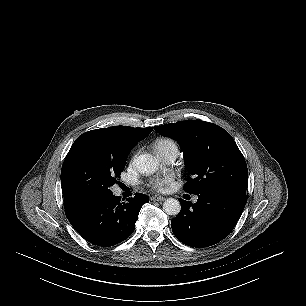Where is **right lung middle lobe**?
Here are the masks:
<instances>
[{
	"label": "right lung middle lobe",
	"mask_w": 306,
	"mask_h": 306,
	"mask_svg": "<svg viewBox=\"0 0 306 306\" xmlns=\"http://www.w3.org/2000/svg\"><path fill=\"white\" fill-rule=\"evenodd\" d=\"M130 151L89 141L74 142L61 170L64 199L83 203L111 195Z\"/></svg>",
	"instance_id": "1"
}]
</instances>
